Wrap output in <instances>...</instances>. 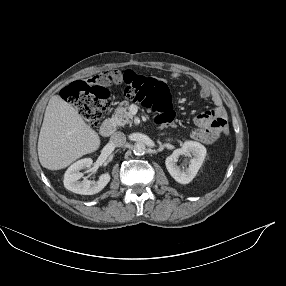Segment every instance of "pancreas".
Wrapping results in <instances>:
<instances>
[{
  "instance_id": "cf45deb5",
  "label": "pancreas",
  "mask_w": 286,
  "mask_h": 286,
  "mask_svg": "<svg viewBox=\"0 0 286 286\" xmlns=\"http://www.w3.org/2000/svg\"><path fill=\"white\" fill-rule=\"evenodd\" d=\"M113 120L118 126L132 124L133 115L129 112V103L122 102L116 109L113 115Z\"/></svg>"
}]
</instances>
